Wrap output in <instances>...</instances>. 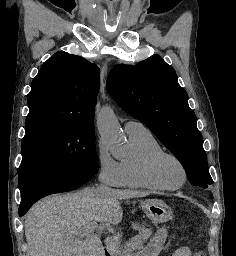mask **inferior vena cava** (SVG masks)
<instances>
[{
    "mask_svg": "<svg viewBox=\"0 0 236 256\" xmlns=\"http://www.w3.org/2000/svg\"><path fill=\"white\" fill-rule=\"evenodd\" d=\"M95 192H97V194H105V192H111V188H108L107 184H99Z\"/></svg>",
    "mask_w": 236,
    "mask_h": 256,
    "instance_id": "inferior-vena-cava-1",
    "label": "inferior vena cava"
}]
</instances>
